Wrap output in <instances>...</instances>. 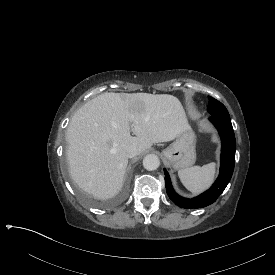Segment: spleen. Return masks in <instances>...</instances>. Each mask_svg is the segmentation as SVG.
I'll use <instances>...</instances> for the list:
<instances>
[{"instance_id": "spleen-1", "label": "spleen", "mask_w": 275, "mask_h": 275, "mask_svg": "<svg viewBox=\"0 0 275 275\" xmlns=\"http://www.w3.org/2000/svg\"><path fill=\"white\" fill-rule=\"evenodd\" d=\"M216 163L212 162L202 167L193 166L178 171L183 185L193 194L207 189L214 180Z\"/></svg>"}]
</instances>
